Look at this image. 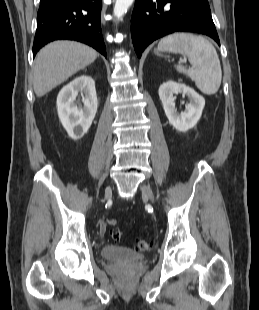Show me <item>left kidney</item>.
I'll return each instance as SVG.
<instances>
[{
	"mask_svg": "<svg viewBox=\"0 0 259 310\" xmlns=\"http://www.w3.org/2000/svg\"><path fill=\"white\" fill-rule=\"evenodd\" d=\"M182 93L188 96L190 102L185 105V110L178 113L175 108V97L173 94ZM159 97L169 123L180 132H187L194 128L202 115L205 99L191 87L167 81L159 87Z\"/></svg>",
	"mask_w": 259,
	"mask_h": 310,
	"instance_id": "1",
	"label": "left kidney"
}]
</instances>
